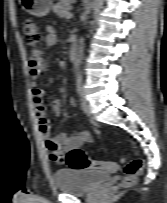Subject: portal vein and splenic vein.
Returning a JSON list of instances; mask_svg holds the SVG:
<instances>
[{"label": "portal vein and splenic vein", "mask_w": 167, "mask_h": 203, "mask_svg": "<svg viewBox=\"0 0 167 203\" xmlns=\"http://www.w3.org/2000/svg\"><path fill=\"white\" fill-rule=\"evenodd\" d=\"M71 17H72V14L69 13V12H67V13H66V18H71Z\"/></svg>", "instance_id": "portal-vein-and-splenic-vein-1"}]
</instances>
